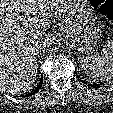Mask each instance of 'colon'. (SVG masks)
<instances>
[{
    "label": "colon",
    "instance_id": "1",
    "mask_svg": "<svg viewBox=\"0 0 113 113\" xmlns=\"http://www.w3.org/2000/svg\"><path fill=\"white\" fill-rule=\"evenodd\" d=\"M91 3L97 7L103 15L113 19V0H91Z\"/></svg>",
    "mask_w": 113,
    "mask_h": 113
}]
</instances>
